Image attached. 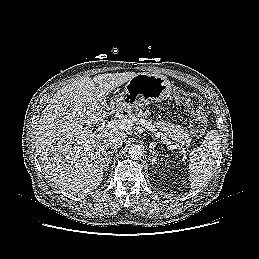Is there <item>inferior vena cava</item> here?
I'll use <instances>...</instances> for the list:
<instances>
[{"mask_svg":"<svg viewBox=\"0 0 259 259\" xmlns=\"http://www.w3.org/2000/svg\"><path fill=\"white\" fill-rule=\"evenodd\" d=\"M123 144V138L120 136H111L106 140L107 147L118 149Z\"/></svg>","mask_w":259,"mask_h":259,"instance_id":"obj_1","label":"inferior vena cava"}]
</instances>
